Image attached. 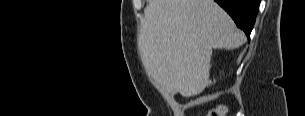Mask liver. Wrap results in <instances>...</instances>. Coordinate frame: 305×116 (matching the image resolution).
I'll return each mask as SVG.
<instances>
[{
    "label": "liver",
    "instance_id": "liver-1",
    "mask_svg": "<svg viewBox=\"0 0 305 116\" xmlns=\"http://www.w3.org/2000/svg\"><path fill=\"white\" fill-rule=\"evenodd\" d=\"M244 41L213 0H150L138 45L147 75L166 90L190 97L208 83L212 49L233 50Z\"/></svg>",
    "mask_w": 305,
    "mask_h": 116
}]
</instances>
